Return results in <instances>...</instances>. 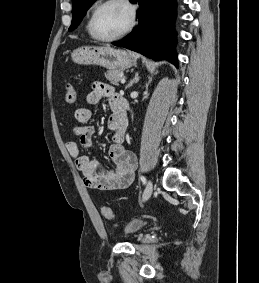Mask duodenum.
Instances as JSON below:
<instances>
[{
	"instance_id": "1",
	"label": "duodenum",
	"mask_w": 259,
	"mask_h": 283,
	"mask_svg": "<svg viewBox=\"0 0 259 283\" xmlns=\"http://www.w3.org/2000/svg\"><path fill=\"white\" fill-rule=\"evenodd\" d=\"M116 113L118 118L123 122L126 123V109H125V102L124 100L119 97L118 99V105L116 108Z\"/></svg>"
}]
</instances>
